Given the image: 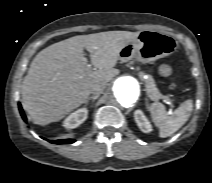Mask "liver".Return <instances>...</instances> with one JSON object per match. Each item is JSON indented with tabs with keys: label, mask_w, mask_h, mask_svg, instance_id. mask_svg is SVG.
<instances>
[{
	"label": "liver",
	"mask_w": 212,
	"mask_h": 183,
	"mask_svg": "<svg viewBox=\"0 0 212 183\" xmlns=\"http://www.w3.org/2000/svg\"><path fill=\"white\" fill-rule=\"evenodd\" d=\"M140 32L107 31L79 35L41 50L22 84V105L33 122L47 125L85 103L95 84H106L119 71L114 67L121 50ZM90 53L91 71L83 55Z\"/></svg>",
	"instance_id": "obj_1"
}]
</instances>
